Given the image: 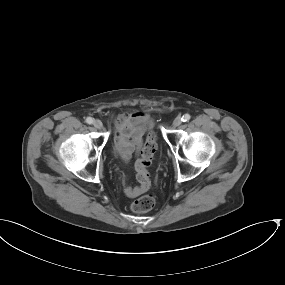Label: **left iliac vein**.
I'll list each match as a JSON object with an SVG mask.
<instances>
[{
  "instance_id": "4c4485c4",
  "label": "left iliac vein",
  "mask_w": 285,
  "mask_h": 285,
  "mask_svg": "<svg viewBox=\"0 0 285 285\" xmlns=\"http://www.w3.org/2000/svg\"><path fill=\"white\" fill-rule=\"evenodd\" d=\"M182 123V118L180 116L176 117L173 121V126L178 127Z\"/></svg>"
}]
</instances>
